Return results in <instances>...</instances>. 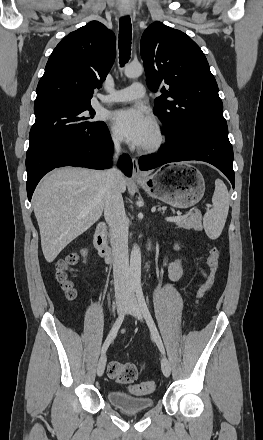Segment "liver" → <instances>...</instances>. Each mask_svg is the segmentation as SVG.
Masks as SVG:
<instances>
[{
	"mask_svg": "<svg viewBox=\"0 0 263 440\" xmlns=\"http://www.w3.org/2000/svg\"><path fill=\"white\" fill-rule=\"evenodd\" d=\"M121 192L127 180L118 181ZM106 172L66 167L52 171L33 195L41 247L51 263L75 238L96 223L104 209Z\"/></svg>",
	"mask_w": 263,
	"mask_h": 440,
	"instance_id": "6515ba94",
	"label": "liver"
}]
</instances>
